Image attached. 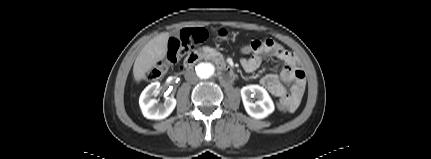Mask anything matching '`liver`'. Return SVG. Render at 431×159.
<instances>
[{"instance_id":"obj_1","label":"liver","mask_w":431,"mask_h":159,"mask_svg":"<svg viewBox=\"0 0 431 159\" xmlns=\"http://www.w3.org/2000/svg\"><path fill=\"white\" fill-rule=\"evenodd\" d=\"M170 34L164 32L151 39L138 54L134 66L133 75L136 82H140L157 63L163 60L168 51Z\"/></svg>"}]
</instances>
